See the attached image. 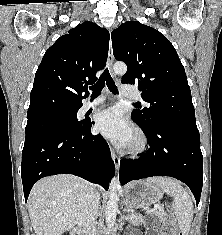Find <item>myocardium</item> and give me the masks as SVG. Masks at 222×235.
I'll return each mask as SVG.
<instances>
[{"label":"myocardium","mask_w":222,"mask_h":235,"mask_svg":"<svg viewBox=\"0 0 222 235\" xmlns=\"http://www.w3.org/2000/svg\"><path fill=\"white\" fill-rule=\"evenodd\" d=\"M146 148H147L146 136L140 131L136 132L129 146L128 149L129 153L132 155H139L143 153L146 150Z\"/></svg>","instance_id":"obj_1"}]
</instances>
